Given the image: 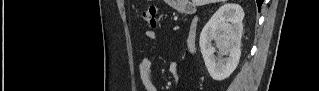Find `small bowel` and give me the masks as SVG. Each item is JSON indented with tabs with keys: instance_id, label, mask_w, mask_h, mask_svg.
<instances>
[{
	"instance_id": "c3829d8e",
	"label": "small bowel",
	"mask_w": 319,
	"mask_h": 91,
	"mask_svg": "<svg viewBox=\"0 0 319 91\" xmlns=\"http://www.w3.org/2000/svg\"><path fill=\"white\" fill-rule=\"evenodd\" d=\"M145 36L150 41L156 40L157 37L156 33L152 30L146 31ZM151 65L152 60L149 57L143 58L139 63L140 76L146 91H156L151 76ZM171 72L174 76L178 75V68L176 65L171 67Z\"/></svg>"
}]
</instances>
